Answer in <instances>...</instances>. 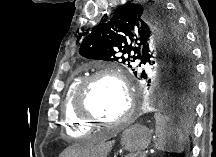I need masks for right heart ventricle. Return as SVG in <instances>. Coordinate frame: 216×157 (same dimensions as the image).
I'll list each match as a JSON object with an SVG mask.
<instances>
[{
    "mask_svg": "<svg viewBox=\"0 0 216 157\" xmlns=\"http://www.w3.org/2000/svg\"><path fill=\"white\" fill-rule=\"evenodd\" d=\"M81 82V77L73 78L67 85L62 103L61 111L63 115V123L65 131L68 135L73 137H81L91 133V125L78 118L74 112L73 101L76 88Z\"/></svg>",
    "mask_w": 216,
    "mask_h": 157,
    "instance_id": "obj_1",
    "label": "right heart ventricle"
}]
</instances>
